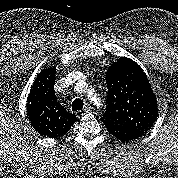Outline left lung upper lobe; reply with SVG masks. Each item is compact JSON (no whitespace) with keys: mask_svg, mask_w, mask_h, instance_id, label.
I'll use <instances>...</instances> for the list:
<instances>
[{"mask_svg":"<svg viewBox=\"0 0 178 178\" xmlns=\"http://www.w3.org/2000/svg\"><path fill=\"white\" fill-rule=\"evenodd\" d=\"M108 98L102 122L148 131L157 115V101L147 76L133 60L123 57L106 73Z\"/></svg>","mask_w":178,"mask_h":178,"instance_id":"left-lung-upper-lobe-1","label":"left lung upper lobe"}]
</instances>
